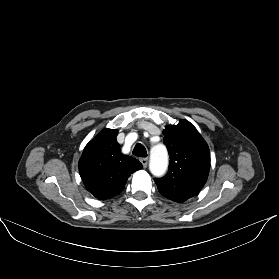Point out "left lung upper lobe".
<instances>
[{"mask_svg":"<svg viewBox=\"0 0 279 279\" xmlns=\"http://www.w3.org/2000/svg\"><path fill=\"white\" fill-rule=\"evenodd\" d=\"M163 134L170 165L168 173L155 179V182L161 195L184 202L197 195L207 181L209 147L196 128L186 120L178 125H168Z\"/></svg>","mask_w":279,"mask_h":279,"instance_id":"1","label":"left lung upper lobe"}]
</instances>
